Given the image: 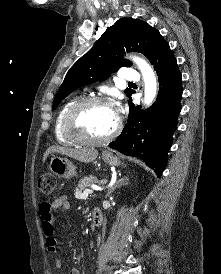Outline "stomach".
I'll use <instances>...</instances> for the list:
<instances>
[{"label":"stomach","instance_id":"0dacf381","mask_svg":"<svg viewBox=\"0 0 221 274\" xmlns=\"http://www.w3.org/2000/svg\"><path fill=\"white\" fill-rule=\"evenodd\" d=\"M102 159L111 166L120 165V160L110 151L102 152ZM50 171L63 179H70L76 175V167L67 158L53 156L49 163Z\"/></svg>","mask_w":221,"mask_h":274}]
</instances>
